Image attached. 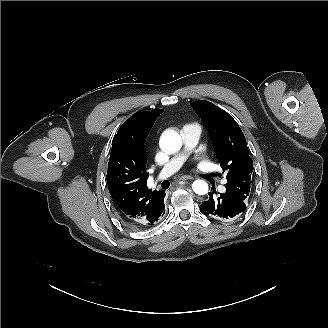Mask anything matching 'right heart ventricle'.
Returning a JSON list of instances; mask_svg holds the SVG:
<instances>
[{
    "instance_id": "right-heart-ventricle-1",
    "label": "right heart ventricle",
    "mask_w": 328,
    "mask_h": 328,
    "mask_svg": "<svg viewBox=\"0 0 328 328\" xmlns=\"http://www.w3.org/2000/svg\"><path fill=\"white\" fill-rule=\"evenodd\" d=\"M185 126H190V127L194 128V129H196L199 132V134H201V132H202V127L197 122L188 123Z\"/></svg>"
}]
</instances>
